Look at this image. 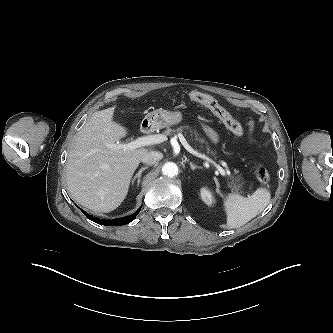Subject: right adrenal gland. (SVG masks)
Returning a JSON list of instances; mask_svg holds the SVG:
<instances>
[{
	"instance_id": "2a0ac1e0",
	"label": "right adrenal gland",
	"mask_w": 333,
	"mask_h": 333,
	"mask_svg": "<svg viewBox=\"0 0 333 333\" xmlns=\"http://www.w3.org/2000/svg\"><path fill=\"white\" fill-rule=\"evenodd\" d=\"M148 167H149V166H145V167L141 168V169L136 173V175H135L134 178L132 179V185L134 184L135 180L137 179V187L139 186L142 172H144L146 169H148Z\"/></svg>"
}]
</instances>
